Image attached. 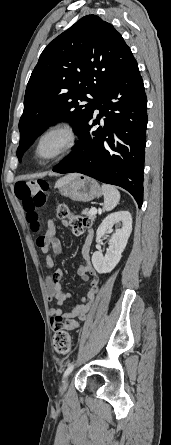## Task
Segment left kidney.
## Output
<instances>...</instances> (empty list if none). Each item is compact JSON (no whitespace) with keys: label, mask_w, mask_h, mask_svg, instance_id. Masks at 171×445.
<instances>
[{"label":"left kidney","mask_w":171,"mask_h":445,"mask_svg":"<svg viewBox=\"0 0 171 445\" xmlns=\"http://www.w3.org/2000/svg\"><path fill=\"white\" fill-rule=\"evenodd\" d=\"M114 224H117L120 228L112 235L105 256L100 250L92 255V264L100 274L111 272L119 263L121 254L132 232L131 214L128 211H119L108 215L97 229L96 242H100L101 238L112 230Z\"/></svg>","instance_id":"5707ae66"}]
</instances>
